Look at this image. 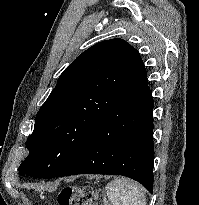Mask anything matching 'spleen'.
<instances>
[{
	"instance_id": "obj_1",
	"label": "spleen",
	"mask_w": 199,
	"mask_h": 205,
	"mask_svg": "<svg viewBox=\"0 0 199 205\" xmlns=\"http://www.w3.org/2000/svg\"><path fill=\"white\" fill-rule=\"evenodd\" d=\"M106 194L111 205H146L143 188L126 179H115L106 186Z\"/></svg>"
}]
</instances>
